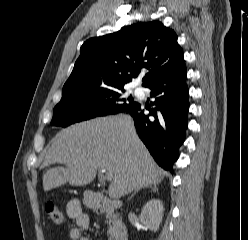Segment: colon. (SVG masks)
Instances as JSON below:
<instances>
[{
  "mask_svg": "<svg viewBox=\"0 0 248 240\" xmlns=\"http://www.w3.org/2000/svg\"><path fill=\"white\" fill-rule=\"evenodd\" d=\"M45 214L56 225H60L64 222V213L61 209L49 202L45 206Z\"/></svg>",
  "mask_w": 248,
  "mask_h": 240,
  "instance_id": "obj_1",
  "label": "colon"
}]
</instances>
